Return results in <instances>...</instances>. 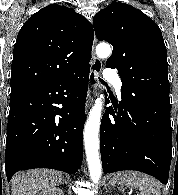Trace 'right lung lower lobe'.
<instances>
[{
	"instance_id": "1",
	"label": "right lung lower lobe",
	"mask_w": 178,
	"mask_h": 195,
	"mask_svg": "<svg viewBox=\"0 0 178 195\" xmlns=\"http://www.w3.org/2000/svg\"><path fill=\"white\" fill-rule=\"evenodd\" d=\"M89 68L63 81L11 91L5 152L8 181L19 170L51 168L73 174L81 168Z\"/></svg>"
}]
</instances>
